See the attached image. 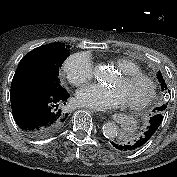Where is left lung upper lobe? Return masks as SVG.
<instances>
[{"label": "left lung upper lobe", "mask_w": 177, "mask_h": 177, "mask_svg": "<svg viewBox=\"0 0 177 177\" xmlns=\"http://www.w3.org/2000/svg\"><path fill=\"white\" fill-rule=\"evenodd\" d=\"M158 80L161 83V89H162V91H164L165 93H167V90H168V92H169V89L167 88L165 80L163 79V76H162V74H161L160 71L158 72ZM166 107H167V105H162L160 110L164 111L166 109ZM163 111H162V113H163Z\"/></svg>", "instance_id": "left-lung-upper-lobe-1"}]
</instances>
